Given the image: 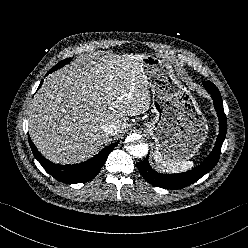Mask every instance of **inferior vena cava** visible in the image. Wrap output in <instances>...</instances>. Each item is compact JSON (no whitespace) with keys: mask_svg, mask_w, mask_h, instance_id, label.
I'll list each match as a JSON object with an SVG mask.
<instances>
[{"mask_svg":"<svg viewBox=\"0 0 248 248\" xmlns=\"http://www.w3.org/2000/svg\"><path fill=\"white\" fill-rule=\"evenodd\" d=\"M102 130L109 135H115L118 132V127L115 124H105L102 126Z\"/></svg>","mask_w":248,"mask_h":248,"instance_id":"inferior-vena-cava-1","label":"inferior vena cava"}]
</instances>
